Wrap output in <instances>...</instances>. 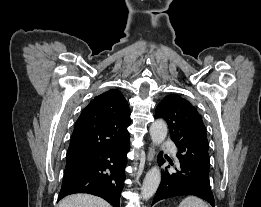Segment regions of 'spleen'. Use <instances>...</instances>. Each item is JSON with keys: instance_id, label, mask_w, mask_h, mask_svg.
<instances>
[{"instance_id": "3e777b00", "label": "spleen", "mask_w": 261, "mask_h": 207, "mask_svg": "<svg viewBox=\"0 0 261 207\" xmlns=\"http://www.w3.org/2000/svg\"><path fill=\"white\" fill-rule=\"evenodd\" d=\"M178 207H208V205L198 197L189 196L183 199Z\"/></svg>"}]
</instances>
